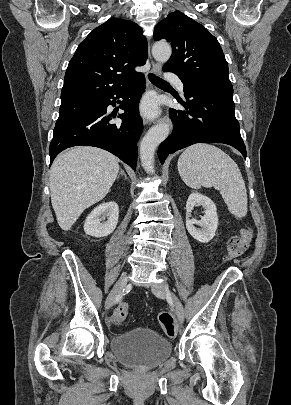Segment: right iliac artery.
<instances>
[{
  "instance_id": "82829eb1",
  "label": "right iliac artery",
  "mask_w": 291,
  "mask_h": 405,
  "mask_svg": "<svg viewBox=\"0 0 291 405\" xmlns=\"http://www.w3.org/2000/svg\"><path fill=\"white\" fill-rule=\"evenodd\" d=\"M121 295H119L117 298H116V300H115V302H118L120 299H121Z\"/></svg>"
}]
</instances>
